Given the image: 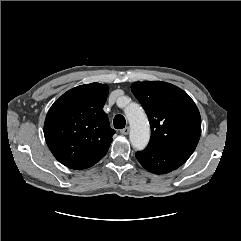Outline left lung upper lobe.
Returning a JSON list of instances; mask_svg holds the SVG:
<instances>
[{
    "label": "left lung upper lobe",
    "mask_w": 241,
    "mask_h": 241,
    "mask_svg": "<svg viewBox=\"0 0 241 241\" xmlns=\"http://www.w3.org/2000/svg\"><path fill=\"white\" fill-rule=\"evenodd\" d=\"M131 90L150 122L148 145L195 150L201 134V117L186 92L161 81L136 82Z\"/></svg>",
    "instance_id": "left-lung-upper-lobe-1"
}]
</instances>
